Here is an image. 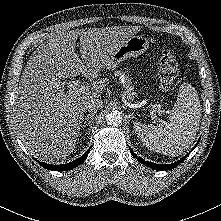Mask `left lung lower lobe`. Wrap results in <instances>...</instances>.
I'll return each mask as SVG.
<instances>
[{
    "instance_id": "left-lung-lower-lobe-1",
    "label": "left lung lower lobe",
    "mask_w": 221,
    "mask_h": 221,
    "mask_svg": "<svg viewBox=\"0 0 221 221\" xmlns=\"http://www.w3.org/2000/svg\"><path fill=\"white\" fill-rule=\"evenodd\" d=\"M199 142V141H198ZM198 142H197V144H198ZM196 144V145H197ZM195 145V146H196ZM195 148V147H194ZM193 148V149H194ZM192 149V150H193ZM131 154L139 161V162H141V163H143V164H146L148 167H150V168H152V169H155V170H161V171H163V170H170V169H173V168H175V167H177L187 156H188V154L186 155V156H184L183 158H181L180 160H178L177 162H175V163H172V164H155V163H151V162H149V161H145L143 158H141V157H138L137 155H135V153H133V151L131 150Z\"/></svg>"
}]
</instances>
